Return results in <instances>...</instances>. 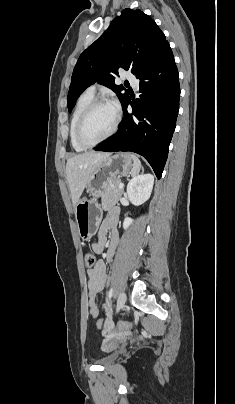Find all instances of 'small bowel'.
I'll return each instance as SVG.
<instances>
[{
  "label": "small bowel",
  "instance_id": "1",
  "mask_svg": "<svg viewBox=\"0 0 235 404\" xmlns=\"http://www.w3.org/2000/svg\"><path fill=\"white\" fill-rule=\"evenodd\" d=\"M117 216V211H112L108 214V216L103 220L99 228L97 238L93 242L92 246L96 253H104L107 260L112 259L119 242L118 232L116 229ZM109 231V246L107 251L104 252L107 245V233ZM87 274L89 312L92 317L97 318L100 316L101 310L96 298L97 295L104 290L107 282L105 261L102 259L97 260L96 264L92 268L88 269Z\"/></svg>",
  "mask_w": 235,
  "mask_h": 404
}]
</instances>
